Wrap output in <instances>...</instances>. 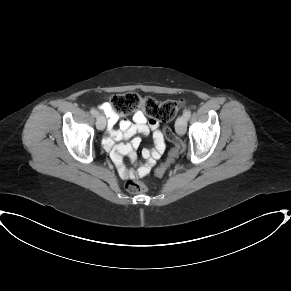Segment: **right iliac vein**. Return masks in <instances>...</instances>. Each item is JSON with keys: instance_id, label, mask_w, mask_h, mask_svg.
<instances>
[{"instance_id": "1", "label": "right iliac vein", "mask_w": 291, "mask_h": 291, "mask_svg": "<svg viewBox=\"0 0 291 291\" xmlns=\"http://www.w3.org/2000/svg\"><path fill=\"white\" fill-rule=\"evenodd\" d=\"M106 126V119L103 115H98L97 117V121H96V127L99 129V130H104Z\"/></svg>"}]
</instances>
